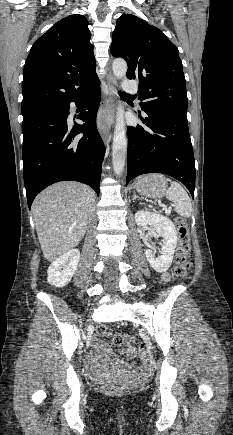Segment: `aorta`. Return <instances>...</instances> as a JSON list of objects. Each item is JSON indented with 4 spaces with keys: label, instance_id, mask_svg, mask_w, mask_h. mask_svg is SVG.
<instances>
[{
    "label": "aorta",
    "instance_id": "762f6f07",
    "mask_svg": "<svg viewBox=\"0 0 233 435\" xmlns=\"http://www.w3.org/2000/svg\"><path fill=\"white\" fill-rule=\"evenodd\" d=\"M113 74L117 78H122L127 72V63L123 59H116L112 65ZM127 153V138L124 122V108L118 107L116 125L112 146V163L114 172L121 175L123 172Z\"/></svg>",
    "mask_w": 233,
    "mask_h": 435
}]
</instances>
